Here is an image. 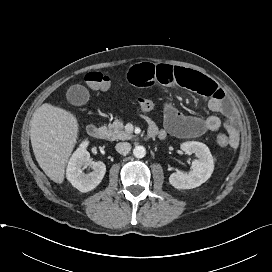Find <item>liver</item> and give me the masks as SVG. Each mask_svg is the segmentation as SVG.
<instances>
[{"label": "liver", "instance_id": "1", "mask_svg": "<svg viewBox=\"0 0 272 272\" xmlns=\"http://www.w3.org/2000/svg\"><path fill=\"white\" fill-rule=\"evenodd\" d=\"M79 125L75 115L63 108L44 103L31 120V144L44 173L55 183L65 178V167L75 147Z\"/></svg>", "mask_w": 272, "mask_h": 272}]
</instances>
